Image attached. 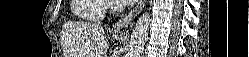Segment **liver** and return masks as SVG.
Masks as SVG:
<instances>
[{
  "mask_svg": "<svg viewBox=\"0 0 249 57\" xmlns=\"http://www.w3.org/2000/svg\"><path fill=\"white\" fill-rule=\"evenodd\" d=\"M63 37L68 57H107L108 40L101 25L70 22L64 26Z\"/></svg>",
  "mask_w": 249,
  "mask_h": 57,
  "instance_id": "1",
  "label": "liver"
}]
</instances>
